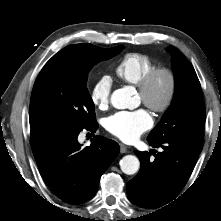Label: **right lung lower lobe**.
Returning <instances> with one entry per match:
<instances>
[{"mask_svg": "<svg viewBox=\"0 0 221 221\" xmlns=\"http://www.w3.org/2000/svg\"><path fill=\"white\" fill-rule=\"evenodd\" d=\"M97 122L86 128L96 131ZM82 129L59 125L31 129V145L39 170L51 190L63 201L80 204L91 199L101 175L119 153V145L95 136L82 148L77 140Z\"/></svg>", "mask_w": 221, "mask_h": 221, "instance_id": "obj_1", "label": "right lung lower lobe"}]
</instances>
